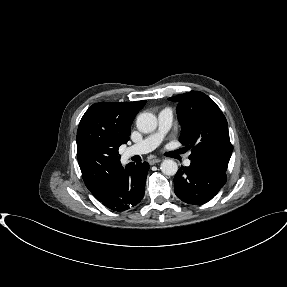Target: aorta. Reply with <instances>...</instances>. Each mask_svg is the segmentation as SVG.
Here are the masks:
<instances>
[{
	"label": "aorta",
	"mask_w": 287,
	"mask_h": 287,
	"mask_svg": "<svg viewBox=\"0 0 287 287\" xmlns=\"http://www.w3.org/2000/svg\"><path fill=\"white\" fill-rule=\"evenodd\" d=\"M136 126L142 133H151L157 128V118L150 112H143L137 117ZM160 169L164 175L173 176L178 171V165L174 160L167 159L161 163Z\"/></svg>",
	"instance_id": "1"
}]
</instances>
